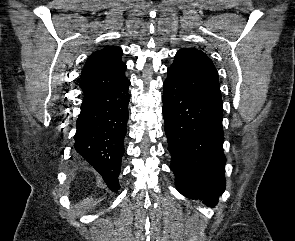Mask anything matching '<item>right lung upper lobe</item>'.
Returning a JSON list of instances; mask_svg holds the SVG:
<instances>
[{
    "instance_id": "right-lung-upper-lobe-1",
    "label": "right lung upper lobe",
    "mask_w": 295,
    "mask_h": 241,
    "mask_svg": "<svg viewBox=\"0 0 295 241\" xmlns=\"http://www.w3.org/2000/svg\"><path fill=\"white\" fill-rule=\"evenodd\" d=\"M122 49L117 46L95 51L87 59L81 73L80 86L84 95L117 87L127 81V69L122 62Z\"/></svg>"
}]
</instances>
